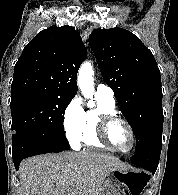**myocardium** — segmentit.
<instances>
[{"instance_id":"myocardium-1","label":"myocardium","mask_w":178,"mask_h":195,"mask_svg":"<svg viewBox=\"0 0 178 195\" xmlns=\"http://www.w3.org/2000/svg\"><path fill=\"white\" fill-rule=\"evenodd\" d=\"M116 123L123 124L127 128L128 132L131 136L132 143H131L130 148L127 150H121V149L114 147L109 140V130H110L111 126L113 124H116ZM97 137H98L99 141L107 149L114 151V152H117V153L128 154V153L133 151V149L136 145V135H135V131H134L133 127L130 125V123L128 121L117 116L116 114L107 113V114H102L99 117L98 128H97Z\"/></svg>"}]
</instances>
